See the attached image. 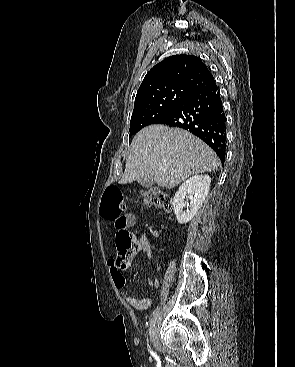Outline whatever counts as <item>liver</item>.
Masks as SVG:
<instances>
[{"label": "liver", "mask_w": 295, "mask_h": 367, "mask_svg": "<svg viewBox=\"0 0 295 367\" xmlns=\"http://www.w3.org/2000/svg\"><path fill=\"white\" fill-rule=\"evenodd\" d=\"M219 166L216 153L191 133L151 125L133 138L120 183L144 177L172 189L191 175L215 171Z\"/></svg>", "instance_id": "6515ba94"}]
</instances>
